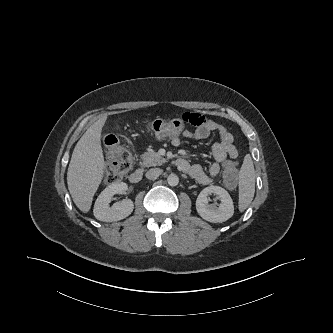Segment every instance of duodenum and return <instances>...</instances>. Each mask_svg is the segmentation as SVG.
Instances as JSON below:
<instances>
[{
    "instance_id": "duodenum-1",
    "label": "duodenum",
    "mask_w": 333,
    "mask_h": 333,
    "mask_svg": "<svg viewBox=\"0 0 333 333\" xmlns=\"http://www.w3.org/2000/svg\"><path fill=\"white\" fill-rule=\"evenodd\" d=\"M186 161L185 160H182V159H179L178 161H177V164H178V166H180V165H186ZM142 178H143V170L142 169H136L135 171H133L131 174H130V176H129V180H130V182L131 183H133V184H137V183H139L141 180H142Z\"/></svg>"
}]
</instances>
